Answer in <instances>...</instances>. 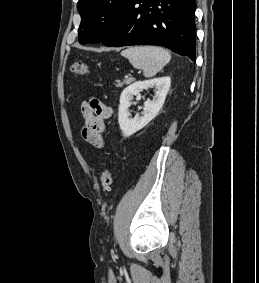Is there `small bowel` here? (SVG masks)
I'll return each mask as SVG.
<instances>
[{"label":"small bowel","mask_w":259,"mask_h":283,"mask_svg":"<svg viewBox=\"0 0 259 283\" xmlns=\"http://www.w3.org/2000/svg\"><path fill=\"white\" fill-rule=\"evenodd\" d=\"M112 115V109L97 99L83 102L81 116L83 120L82 137L95 148H103L105 121Z\"/></svg>","instance_id":"small-bowel-1"}]
</instances>
